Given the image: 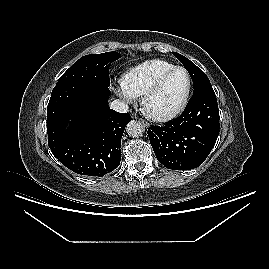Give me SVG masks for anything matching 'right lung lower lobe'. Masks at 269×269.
<instances>
[{
    "instance_id": "obj_1",
    "label": "right lung lower lobe",
    "mask_w": 269,
    "mask_h": 269,
    "mask_svg": "<svg viewBox=\"0 0 269 269\" xmlns=\"http://www.w3.org/2000/svg\"><path fill=\"white\" fill-rule=\"evenodd\" d=\"M109 95L108 87L78 82L58 84L52 91L47 107L48 145L75 173L102 177L120 164L121 138L131 117L110 109Z\"/></svg>"
}]
</instances>
